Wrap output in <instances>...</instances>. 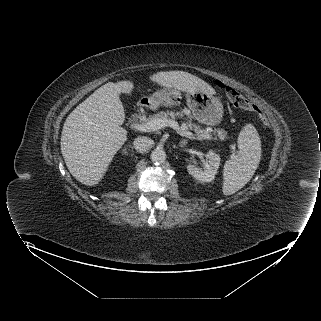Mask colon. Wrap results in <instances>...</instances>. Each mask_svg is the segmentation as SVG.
I'll list each match as a JSON object with an SVG mask.
<instances>
[{
  "label": "colon",
  "mask_w": 321,
  "mask_h": 321,
  "mask_svg": "<svg viewBox=\"0 0 321 321\" xmlns=\"http://www.w3.org/2000/svg\"><path fill=\"white\" fill-rule=\"evenodd\" d=\"M217 84L220 88L224 89L228 99L234 106L254 112L265 126H269L267 116L262 109H260L257 105H255L252 101L247 99L234 88L225 86L222 82H218Z\"/></svg>",
  "instance_id": "obj_1"
}]
</instances>
